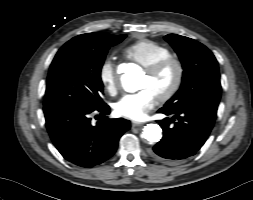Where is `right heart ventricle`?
<instances>
[{"label":"right heart ventricle","instance_id":"right-heart-ventricle-1","mask_svg":"<svg viewBox=\"0 0 253 200\" xmlns=\"http://www.w3.org/2000/svg\"><path fill=\"white\" fill-rule=\"evenodd\" d=\"M125 58L142 67L172 56L168 47L148 39L137 41L124 49Z\"/></svg>","mask_w":253,"mask_h":200}]
</instances>
